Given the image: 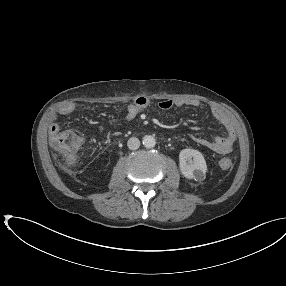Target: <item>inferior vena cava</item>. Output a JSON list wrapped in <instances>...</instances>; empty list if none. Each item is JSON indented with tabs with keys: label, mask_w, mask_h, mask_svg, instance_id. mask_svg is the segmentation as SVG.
<instances>
[{
	"label": "inferior vena cava",
	"mask_w": 286,
	"mask_h": 286,
	"mask_svg": "<svg viewBox=\"0 0 286 286\" xmlns=\"http://www.w3.org/2000/svg\"><path fill=\"white\" fill-rule=\"evenodd\" d=\"M127 146L130 150H137L140 146V141L136 137H131L127 142Z\"/></svg>",
	"instance_id": "obj_1"
}]
</instances>
